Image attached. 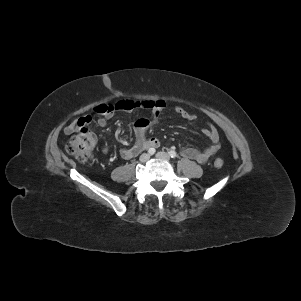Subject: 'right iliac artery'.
<instances>
[{"label":"right iliac artery","instance_id":"1","mask_svg":"<svg viewBox=\"0 0 301 301\" xmlns=\"http://www.w3.org/2000/svg\"><path fill=\"white\" fill-rule=\"evenodd\" d=\"M148 153H149L150 155H153V154L155 153V149H154V148H150V149L148 150Z\"/></svg>","mask_w":301,"mask_h":301}]
</instances>
